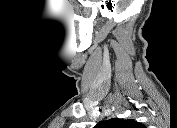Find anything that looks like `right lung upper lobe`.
<instances>
[{
  "label": "right lung upper lobe",
  "mask_w": 177,
  "mask_h": 128,
  "mask_svg": "<svg viewBox=\"0 0 177 128\" xmlns=\"http://www.w3.org/2000/svg\"><path fill=\"white\" fill-rule=\"evenodd\" d=\"M99 128H144V125L135 121L134 119H118L112 118L100 123Z\"/></svg>",
  "instance_id": "1"
}]
</instances>
